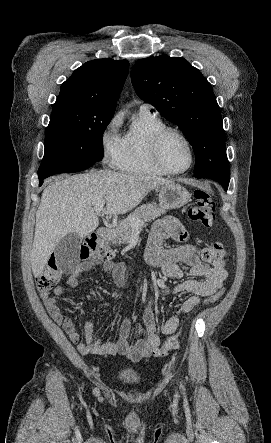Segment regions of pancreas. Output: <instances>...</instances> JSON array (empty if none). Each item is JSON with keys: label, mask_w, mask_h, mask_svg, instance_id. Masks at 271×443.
Masks as SVG:
<instances>
[{"label": "pancreas", "mask_w": 271, "mask_h": 443, "mask_svg": "<svg viewBox=\"0 0 271 443\" xmlns=\"http://www.w3.org/2000/svg\"><path fill=\"white\" fill-rule=\"evenodd\" d=\"M161 214H166V208H158V206H153V204L140 206V208H137L135 212L129 214L127 220H123V222L119 223L118 233L117 235H110V241H112V243H127L130 237H132V233L140 231V229L146 225V222L159 218ZM132 218L143 222L142 225H131Z\"/></svg>", "instance_id": "cf45deb5"}]
</instances>
